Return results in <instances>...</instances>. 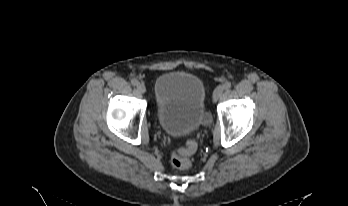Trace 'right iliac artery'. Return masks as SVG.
Wrapping results in <instances>:
<instances>
[{
  "label": "right iliac artery",
  "mask_w": 348,
  "mask_h": 206,
  "mask_svg": "<svg viewBox=\"0 0 348 206\" xmlns=\"http://www.w3.org/2000/svg\"><path fill=\"white\" fill-rule=\"evenodd\" d=\"M131 84H132L133 86H137V85H138V81H137L136 79H132V80H131Z\"/></svg>",
  "instance_id": "82829eb1"
}]
</instances>
